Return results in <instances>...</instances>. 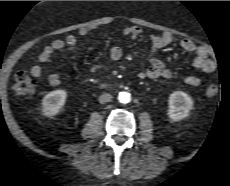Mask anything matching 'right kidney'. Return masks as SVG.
<instances>
[{
  "label": "right kidney",
  "instance_id": "obj_1",
  "mask_svg": "<svg viewBox=\"0 0 230 186\" xmlns=\"http://www.w3.org/2000/svg\"><path fill=\"white\" fill-rule=\"evenodd\" d=\"M67 92L62 89L52 91L42 100V113L47 117L57 115L65 104Z\"/></svg>",
  "mask_w": 230,
  "mask_h": 186
}]
</instances>
